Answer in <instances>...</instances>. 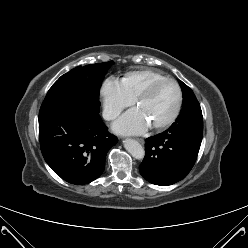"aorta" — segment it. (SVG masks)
<instances>
[{"mask_svg":"<svg viewBox=\"0 0 248 248\" xmlns=\"http://www.w3.org/2000/svg\"><path fill=\"white\" fill-rule=\"evenodd\" d=\"M124 147L135 159L141 160L145 156L144 148L134 139H126Z\"/></svg>","mask_w":248,"mask_h":248,"instance_id":"1","label":"aorta"}]
</instances>
